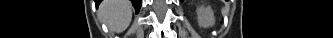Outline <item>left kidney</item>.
Wrapping results in <instances>:
<instances>
[{
  "mask_svg": "<svg viewBox=\"0 0 333 38\" xmlns=\"http://www.w3.org/2000/svg\"><path fill=\"white\" fill-rule=\"evenodd\" d=\"M198 23L200 27L209 28L215 23L214 12L211 7L200 6L197 9Z\"/></svg>",
  "mask_w": 333,
  "mask_h": 38,
  "instance_id": "left-kidney-1",
  "label": "left kidney"
}]
</instances>
